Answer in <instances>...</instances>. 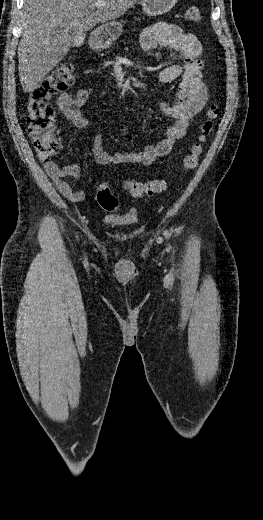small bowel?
Returning <instances> with one entry per match:
<instances>
[{
	"label": "small bowel",
	"instance_id": "obj_1",
	"mask_svg": "<svg viewBox=\"0 0 263 520\" xmlns=\"http://www.w3.org/2000/svg\"><path fill=\"white\" fill-rule=\"evenodd\" d=\"M141 48L155 56V50L161 47L178 52L184 60L182 65L174 64L161 70L158 80L162 84L171 83L181 77L173 102L161 101L160 111L173 119L166 136L155 144L147 145L139 151L109 153L103 147V138H94L92 152L96 163L108 164H142L151 165L157 158L167 155L175 142L186 134L194 117L204 108L208 100V89L202 80L203 59L202 47L192 33L181 27L165 22H158L146 28L140 38ZM91 94L90 88H80L73 93L64 92L56 100L58 111L80 131L87 129V121L79 111ZM120 133L128 141L131 135L125 126L119 127ZM48 176L52 179L60 193L72 202H81L86 194L83 190H74L66 178H77L80 167L76 164L59 166L56 162L44 163Z\"/></svg>",
	"mask_w": 263,
	"mask_h": 520
}]
</instances>
